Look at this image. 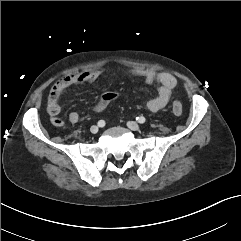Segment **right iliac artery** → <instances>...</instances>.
I'll list each match as a JSON object with an SVG mask.
<instances>
[{
	"mask_svg": "<svg viewBox=\"0 0 241 241\" xmlns=\"http://www.w3.org/2000/svg\"><path fill=\"white\" fill-rule=\"evenodd\" d=\"M98 126L99 127H104L105 126V121H103V120L98 121Z\"/></svg>",
	"mask_w": 241,
	"mask_h": 241,
	"instance_id": "82829eb1",
	"label": "right iliac artery"
}]
</instances>
